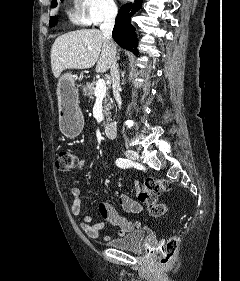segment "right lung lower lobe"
I'll use <instances>...</instances> for the list:
<instances>
[{
	"label": "right lung lower lobe",
	"instance_id": "98d812e1",
	"mask_svg": "<svg viewBox=\"0 0 240 281\" xmlns=\"http://www.w3.org/2000/svg\"><path fill=\"white\" fill-rule=\"evenodd\" d=\"M143 0H135L133 3L121 7L113 29V39L123 48L137 53V35L131 24V17L141 8Z\"/></svg>",
	"mask_w": 240,
	"mask_h": 281
}]
</instances>
